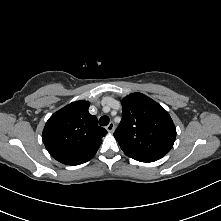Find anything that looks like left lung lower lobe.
<instances>
[{
    "label": "left lung lower lobe",
    "instance_id": "left-lung-lower-lobe-1",
    "mask_svg": "<svg viewBox=\"0 0 221 221\" xmlns=\"http://www.w3.org/2000/svg\"><path fill=\"white\" fill-rule=\"evenodd\" d=\"M137 161H140V162H153L154 160H150V159H146V158H141V157H131Z\"/></svg>",
    "mask_w": 221,
    "mask_h": 221
}]
</instances>
